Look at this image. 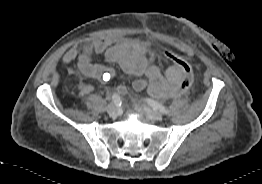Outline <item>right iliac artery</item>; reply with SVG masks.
<instances>
[{"mask_svg":"<svg viewBox=\"0 0 262 184\" xmlns=\"http://www.w3.org/2000/svg\"><path fill=\"white\" fill-rule=\"evenodd\" d=\"M112 102H113L114 105H116V106H120V105H121L122 101H121V98H120L119 94H117V93L113 94V96H112Z\"/></svg>","mask_w":262,"mask_h":184,"instance_id":"1","label":"right iliac artery"}]
</instances>
